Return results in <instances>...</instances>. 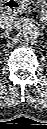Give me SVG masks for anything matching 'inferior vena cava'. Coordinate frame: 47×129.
Wrapping results in <instances>:
<instances>
[{"label": "inferior vena cava", "instance_id": "inferior-vena-cava-1", "mask_svg": "<svg viewBox=\"0 0 47 129\" xmlns=\"http://www.w3.org/2000/svg\"><path fill=\"white\" fill-rule=\"evenodd\" d=\"M18 24V19L12 16H3L0 20V27L3 30H11Z\"/></svg>", "mask_w": 47, "mask_h": 129}]
</instances>
